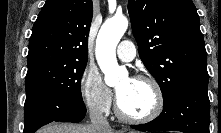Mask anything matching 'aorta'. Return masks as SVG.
I'll return each mask as SVG.
<instances>
[{
    "label": "aorta",
    "mask_w": 221,
    "mask_h": 133,
    "mask_svg": "<svg viewBox=\"0 0 221 133\" xmlns=\"http://www.w3.org/2000/svg\"><path fill=\"white\" fill-rule=\"evenodd\" d=\"M127 28L128 19L115 16L104 22L96 39V59L109 86L116 85L121 76L127 75L126 68L120 67L116 59V47Z\"/></svg>",
    "instance_id": "1"
}]
</instances>
